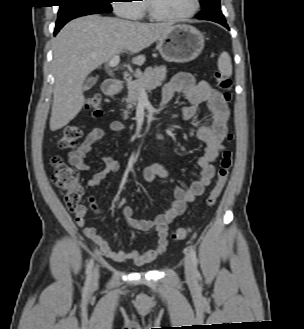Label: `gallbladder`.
<instances>
[{
  "mask_svg": "<svg viewBox=\"0 0 304 329\" xmlns=\"http://www.w3.org/2000/svg\"><path fill=\"white\" fill-rule=\"evenodd\" d=\"M97 79L96 78H90L88 79L85 84L83 85V90L87 91L89 90L95 83H96Z\"/></svg>",
  "mask_w": 304,
  "mask_h": 329,
  "instance_id": "bac80fb5",
  "label": "gallbladder"
}]
</instances>
